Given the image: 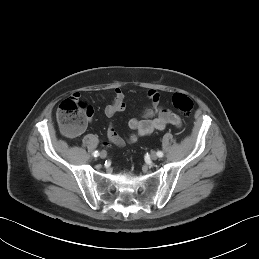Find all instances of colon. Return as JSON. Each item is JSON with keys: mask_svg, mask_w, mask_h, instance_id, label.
Returning a JSON list of instances; mask_svg holds the SVG:
<instances>
[{"mask_svg": "<svg viewBox=\"0 0 259 259\" xmlns=\"http://www.w3.org/2000/svg\"><path fill=\"white\" fill-rule=\"evenodd\" d=\"M172 104L183 115H189L194 107L191 98L183 93H175ZM91 114L90 106L76 96H70L58 105L57 121L65 134L75 136L85 128Z\"/></svg>", "mask_w": 259, "mask_h": 259, "instance_id": "colon-1", "label": "colon"}]
</instances>
